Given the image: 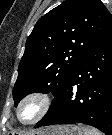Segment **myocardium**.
<instances>
[{"mask_svg": "<svg viewBox=\"0 0 112 135\" xmlns=\"http://www.w3.org/2000/svg\"><path fill=\"white\" fill-rule=\"evenodd\" d=\"M28 102H35L38 106V111L33 118L28 121H23L20 118V110ZM50 107L51 98L48 93L43 91H31L25 94L17 103L15 108V116L17 121L24 126L34 125L46 116L50 110Z\"/></svg>", "mask_w": 112, "mask_h": 135, "instance_id": "myocardium-1", "label": "myocardium"}]
</instances>
